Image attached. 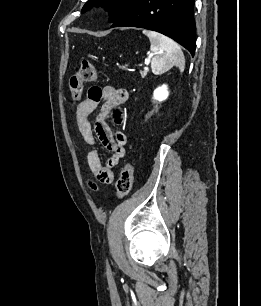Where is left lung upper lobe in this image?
Wrapping results in <instances>:
<instances>
[{
	"label": "left lung upper lobe",
	"mask_w": 261,
	"mask_h": 306,
	"mask_svg": "<svg viewBox=\"0 0 261 306\" xmlns=\"http://www.w3.org/2000/svg\"><path fill=\"white\" fill-rule=\"evenodd\" d=\"M134 0H88L82 11H86L90 7L105 6L109 11V22L115 23L128 11Z\"/></svg>",
	"instance_id": "5c2ea615"
}]
</instances>
